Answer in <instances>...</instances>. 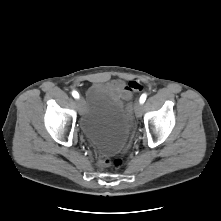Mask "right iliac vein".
I'll return each instance as SVG.
<instances>
[{
  "label": "right iliac vein",
  "instance_id": "obj_1",
  "mask_svg": "<svg viewBox=\"0 0 221 221\" xmlns=\"http://www.w3.org/2000/svg\"><path fill=\"white\" fill-rule=\"evenodd\" d=\"M77 104H78L79 112L82 114L84 104H83V99L81 97L77 99Z\"/></svg>",
  "mask_w": 221,
  "mask_h": 221
}]
</instances>
